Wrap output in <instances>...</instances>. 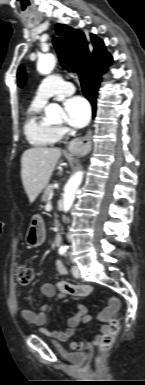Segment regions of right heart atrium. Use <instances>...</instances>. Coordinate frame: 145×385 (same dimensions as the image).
<instances>
[{
  "label": "right heart atrium",
  "mask_w": 145,
  "mask_h": 385,
  "mask_svg": "<svg viewBox=\"0 0 145 385\" xmlns=\"http://www.w3.org/2000/svg\"><path fill=\"white\" fill-rule=\"evenodd\" d=\"M56 131H57L59 137L63 136L66 132L65 128H63V127L56 128Z\"/></svg>",
  "instance_id": "obj_1"
}]
</instances>
